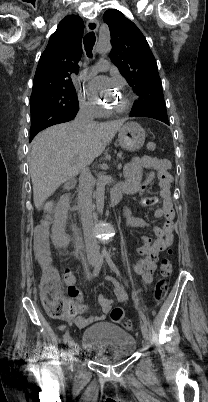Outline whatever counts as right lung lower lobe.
<instances>
[{
	"label": "right lung lower lobe",
	"instance_id": "98d812e1",
	"mask_svg": "<svg viewBox=\"0 0 208 402\" xmlns=\"http://www.w3.org/2000/svg\"><path fill=\"white\" fill-rule=\"evenodd\" d=\"M78 109L73 112V113H67V114H62L60 116H56V115H40L36 118H32V125H31V134H30V142L32 141V139L35 137V135L40 132L41 130L55 125V124H59V123H64V122H68L70 120H72L76 113H77Z\"/></svg>",
	"mask_w": 208,
	"mask_h": 402
}]
</instances>
